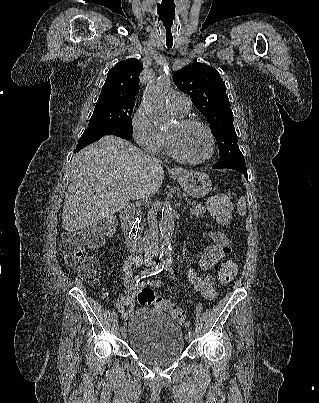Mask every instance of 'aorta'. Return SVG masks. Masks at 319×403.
<instances>
[{
  "mask_svg": "<svg viewBox=\"0 0 319 403\" xmlns=\"http://www.w3.org/2000/svg\"><path fill=\"white\" fill-rule=\"evenodd\" d=\"M171 84L170 76L165 73L151 81L144 93V108L154 125L161 128L168 121L167 100ZM174 215L170 201L162 205V215L159 229L162 237L161 253L169 258L172 253L170 238L174 232Z\"/></svg>",
  "mask_w": 319,
  "mask_h": 403,
  "instance_id": "aorta-1",
  "label": "aorta"
}]
</instances>
